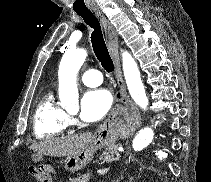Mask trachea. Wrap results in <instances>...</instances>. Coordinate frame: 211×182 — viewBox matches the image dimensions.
Returning a JSON list of instances; mask_svg holds the SVG:
<instances>
[{
    "mask_svg": "<svg viewBox=\"0 0 211 182\" xmlns=\"http://www.w3.org/2000/svg\"><path fill=\"white\" fill-rule=\"evenodd\" d=\"M76 13L81 16L84 22L89 25L93 32L91 33V43L93 51L101 63L102 67L109 73L113 72L114 64L108 52L107 46L105 44L103 33L101 31L100 25L96 17L89 10L76 11Z\"/></svg>",
    "mask_w": 211,
    "mask_h": 182,
    "instance_id": "trachea-1",
    "label": "trachea"
}]
</instances>
